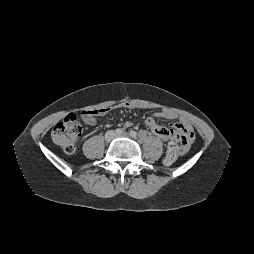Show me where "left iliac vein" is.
<instances>
[{
  "mask_svg": "<svg viewBox=\"0 0 254 254\" xmlns=\"http://www.w3.org/2000/svg\"><path fill=\"white\" fill-rule=\"evenodd\" d=\"M117 137H128V134L127 133H124L122 135H117Z\"/></svg>",
  "mask_w": 254,
  "mask_h": 254,
  "instance_id": "4c4485c4",
  "label": "left iliac vein"
}]
</instances>
